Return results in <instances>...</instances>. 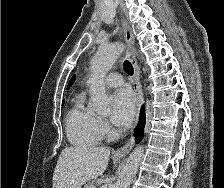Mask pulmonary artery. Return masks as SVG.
Listing matches in <instances>:
<instances>
[{
  "label": "pulmonary artery",
  "mask_w": 224,
  "mask_h": 188,
  "mask_svg": "<svg viewBox=\"0 0 224 188\" xmlns=\"http://www.w3.org/2000/svg\"><path fill=\"white\" fill-rule=\"evenodd\" d=\"M123 82H124L123 77L118 73H110L104 79V83L108 87H113V88L121 86Z\"/></svg>",
  "instance_id": "e3ab8cb5"
}]
</instances>
